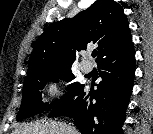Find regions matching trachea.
Here are the masks:
<instances>
[{"instance_id": "trachea-1", "label": "trachea", "mask_w": 153, "mask_h": 134, "mask_svg": "<svg viewBox=\"0 0 153 134\" xmlns=\"http://www.w3.org/2000/svg\"><path fill=\"white\" fill-rule=\"evenodd\" d=\"M96 56H97V51L94 50V51L92 52V57L95 58Z\"/></svg>"}]
</instances>
